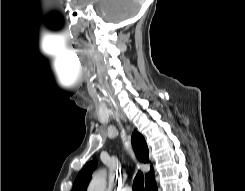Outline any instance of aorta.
Segmentation results:
<instances>
[{
  "mask_svg": "<svg viewBox=\"0 0 245 191\" xmlns=\"http://www.w3.org/2000/svg\"><path fill=\"white\" fill-rule=\"evenodd\" d=\"M88 191H106V174L104 171L97 173L89 184Z\"/></svg>",
  "mask_w": 245,
  "mask_h": 191,
  "instance_id": "1",
  "label": "aorta"
}]
</instances>
